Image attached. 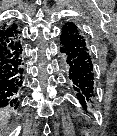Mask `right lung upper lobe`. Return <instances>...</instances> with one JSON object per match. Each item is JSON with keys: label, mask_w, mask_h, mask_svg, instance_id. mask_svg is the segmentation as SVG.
<instances>
[{"label": "right lung upper lobe", "mask_w": 117, "mask_h": 136, "mask_svg": "<svg viewBox=\"0 0 117 136\" xmlns=\"http://www.w3.org/2000/svg\"><path fill=\"white\" fill-rule=\"evenodd\" d=\"M11 24H4L3 25V27H2V29L0 30V33H1V31H3V30H5L6 28H8L9 26H10Z\"/></svg>", "instance_id": "obj_1"}]
</instances>
